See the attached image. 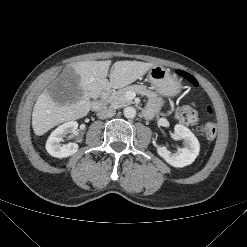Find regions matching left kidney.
Listing matches in <instances>:
<instances>
[{
	"instance_id": "left-kidney-1",
	"label": "left kidney",
	"mask_w": 247,
	"mask_h": 247,
	"mask_svg": "<svg viewBox=\"0 0 247 247\" xmlns=\"http://www.w3.org/2000/svg\"><path fill=\"white\" fill-rule=\"evenodd\" d=\"M177 139L184 141V147L178 153L172 154L165 146L157 148L158 154L171 166L182 168L194 162L199 154L200 145L195 135L181 124L175 125Z\"/></svg>"
}]
</instances>
